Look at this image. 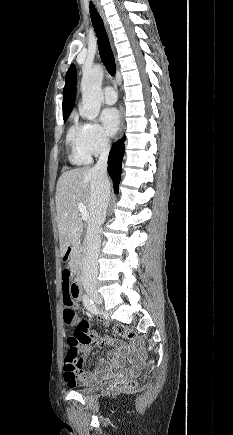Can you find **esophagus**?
<instances>
[{
	"instance_id": "obj_1",
	"label": "esophagus",
	"mask_w": 233,
	"mask_h": 435,
	"mask_svg": "<svg viewBox=\"0 0 233 435\" xmlns=\"http://www.w3.org/2000/svg\"><path fill=\"white\" fill-rule=\"evenodd\" d=\"M98 6H99L100 13L102 15V18L104 20L105 26H106L107 30L109 31V26H108V23L106 21L103 9L101 8L100 5H98ZM124 127H125L124 108L121 106L120 107V128H119V132H118V135H117V139H120L122 137V135L124 133Z\"/></svg>"
}]
</instances>
